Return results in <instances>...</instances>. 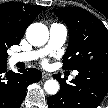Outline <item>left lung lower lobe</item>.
I'll list each match as a JSON object with an SVG mask.
<instances>
[{"label":"left lung lower lobe","mask_w":108,"mask_h":108,"mask_svg":"<svg viewBox=\"0 0 108 108\" xmlns=\"http://www.w3.org/2000/svg\"><path fill=\"white\" fill-rule=\"evenodd\" d=\"M54 77L60 91L47 99L49 108H97L108 91V67L80 70L71 84L60 74Z\"/></svg>","instance_id":"0a47b994"}]
</instances>
